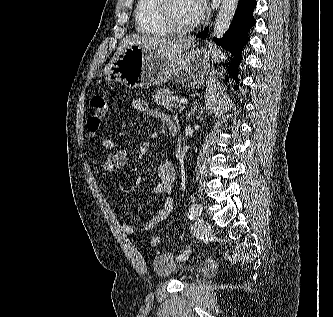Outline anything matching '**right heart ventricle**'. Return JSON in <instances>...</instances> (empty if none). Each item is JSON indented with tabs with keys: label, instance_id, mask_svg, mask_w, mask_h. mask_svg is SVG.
Here are the masks:
<instances>
[{
	"label": "right heart ventricle",
	"instance_id": "1",
	"mask_svg": "<svg viewBox=\"0 0 333 317\" xmlns=\"http://www.w3.org/2000/svg\"><path fill=\"white\" fill-rule=\"evenodd\" d=\"M154 0H138L135 7V24L144 35L163 37L169 32L158 22L154 12Z\"/></svg>",
	"mask_w": 333,
	"mask_h": 317
}]
</instances>
